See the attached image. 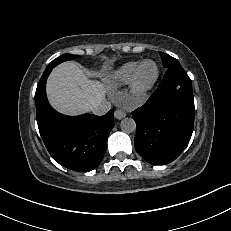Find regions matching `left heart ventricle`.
I'll list each match as a JSON object with an SVG mask.
<instances>
[{
  "mask_svg": "<svg viewBox=\"0 0 231 231\" xmlns=\"http://www.w3.org/2000/svg\"><path fill=\"white\" fill-rule=\"evenodd\" d=\"M156 73V67L153 63H147L146 65L143 66L140 76H139V81L141 84H146L152 80V78L155 76Z\"/></svg>",
  "mask_w": 231,
  "mask_h": 231,
  "instance_id": "left-heart-ventricle-1",
  "label": "left heart ventricle"
}]
</instances>
